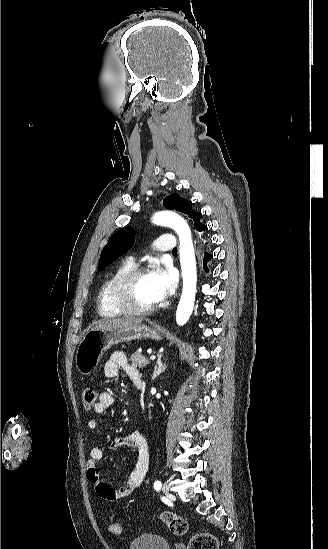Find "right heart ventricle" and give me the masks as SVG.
I'll list each match as a JSON object with an SVG mask.
<instances>
[{
	"label": "right heart ventricle",
	"mask_w": 328,
	"mask_h": 549,
	"mask_svg": "<svg viewBox=\"0 0 328 549\" xmlns=\"http://www.w3.org/2000/svg\"><path fill=\"white\" fill-rule=\"evenodd\" d=\"M135 265L136 260L132 256H127L121 259L114 272L102 284L96 300V311L102 321L108 323V319H128L126 315H119L110 311L109 305L111 303L108 293L112 283L117 279V277H119L126 270L133 268Z\"/></svg>",
	"instance_id": "1"
}]
</instances>
